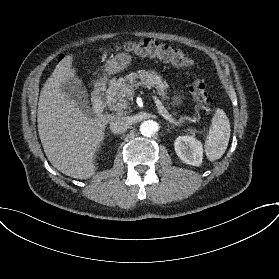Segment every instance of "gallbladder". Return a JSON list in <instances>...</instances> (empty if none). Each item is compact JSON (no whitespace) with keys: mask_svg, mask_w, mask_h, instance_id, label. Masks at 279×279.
Returning <instances> with one entry per match:
<instances>
[{"mask_svg":"<svg viewBox=\"0 0 279 279\" xmlns=\"http://www.w3.org/2000/svg\"><path fill=\"white\" fill-rule=\"evenodd\" d=\"M62 92L67 98L75 102L80 109L87 112L89 110L88 94L81 80L73 79L63 85Z\"/></svg>","mask_w":279,"mask_h":279,"instance_id":"gallbladder-1","label":"gallbladder"}]
</instances>
